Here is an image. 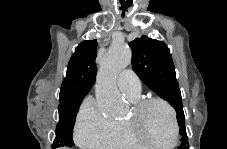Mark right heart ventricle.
I'll list each match as a JSON object with an SVG mask.
<instances>
[{"label":"right heart ventricle","instance_id":"obj_1","mask_svg":"<svg viewBox=\"0 0 227 149\" xmlns=\"http://www.w3.org/2000/svg\"><path fill=\"white\" fill-rule=\"evenodd\" d=\"M128 99L135 103L139 100V96L128 97ZM109 146L115 149H136L144 145L131 134L126 120L120 119L114 120V132Z\"/></svg>","mask_w":227,"mask_h":149}]
</instances>
